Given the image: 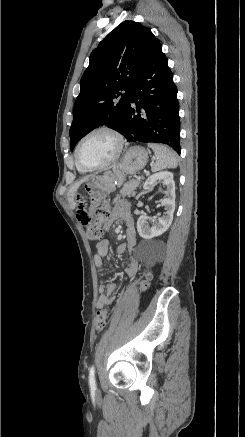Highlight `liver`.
Segmentation results:
<instances>
[{"label":"liver","instance_id":"1","mask_svg":"<svg viewBox=\"0 0 245 437\" xmlns=\"http://www.w3.org/2000/svg\"><path fill=\"white\" fill-rule=\"evenodd\" d=\"M87 179H88V177H84L83 179H81L80 181L75 183L72 186V188L70 189V191L68 193V201L70 203L71 209H75V207L77 206V203L75 201V196H76L77 190L79 189L80 185L82 183H84Z\"/></svg>","mask_w":245,"mask_h":437}]
</instances>
